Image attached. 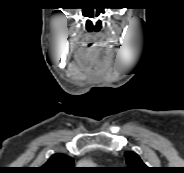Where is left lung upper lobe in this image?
<instances>
[{"label": "left lung upper lobe", "mask_w": 184, "mask_h": 173, "mask_svg": "<svg viewBox=\"0 0 184 173\" xmlns=\"http://www.w3.org/2000/svg\"><path fill=\"white\" fill-rule=\"evenodd\" d=\"M126 163L128 167L124 168L126 173H147L148 167L142 162L140 157L134 152H126Z\"/></svg>", "instance_id": "left-lung-upper-lobe-1"}]
</instances>
